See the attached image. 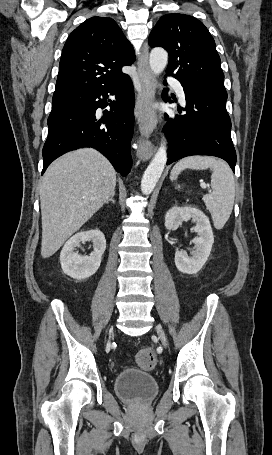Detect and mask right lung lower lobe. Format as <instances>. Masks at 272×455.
<instances>
[{
  "mask_svg": "<svg viewBox=\"0 0 272 455\" xmlns=\"http://www.w3.org/2000/svg\"><path fill=\"white\" fill-rule=\"evenodd\" d=\"M108 95L116 100L108 104ZM110 101V100H109ZM110 106L98 118L96 110ZM135 97L130 77L119 83L52 105L43 148V171L62 154L93 147L126 176L131 169L130 141L133 135Z\"/></svg>",
  "mask_w": 272,
  "mask_h": 455,
  "instance_id": "obj_1",
  "label": "right lung lower lobe"
}]
</instances>
